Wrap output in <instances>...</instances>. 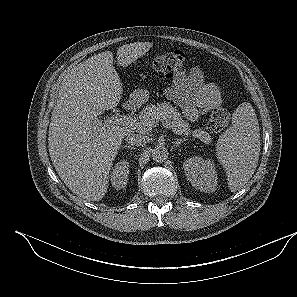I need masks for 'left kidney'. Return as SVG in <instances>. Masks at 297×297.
<instances>
[{
  "label": "left kidney",
  "instance_id": "5707ae66",
  "mask_svg": "<svg viewBox=\"0 0 297 297\" xmlns=\"http://www.w3.org/2000/svg\"><path fill=\"white\" fill-rule=\"evenodd\" d=\"M187 179L193 187L205 193L214 192L217 187V174L214 163L201 157L188 158L183 163Z\"/></svg>",
  "mask_w": 297,
  "mask_h": 297
}]
</instances>
